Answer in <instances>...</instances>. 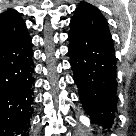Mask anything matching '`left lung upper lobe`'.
<instances>
[{"label":"left lung upper lobe","instance_id":"1","mask_svg":"<svg viewBox=\"0 0 136 136\" xmlns=\"http://www.w3.org/2000/svg\"><path fill=\"white\" fill-rule=\"evenodd\" d=\"M85 8H95L94 6H92L91 4H88V3H81L78 5V7L76 8L75 10V13L80 11L81 9H85Z\"/></svg>","mask_w":136,"mask_h":136}]
</instances>
